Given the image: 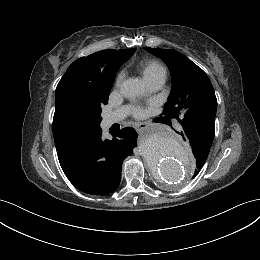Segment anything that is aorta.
<instances>
[{"label": "aorta", "instance_id": "1", "mask_svg": "<svg viewBox=\"0 0 260 260\" xmlns=\"http://www.w3.org/2000/svg\"><path fill=\"white\" fill-rule=\"evenodd\" d=\"M123 96L133 98L143 91L138 79H127L120 87ZM141 153L150 164L153 176L166 183L175 184L190 176L193 163L188 151L167 130L149 133L141 144Z\"/></svg>", "mask_w": 260, "mask_h": 260}]
</instances>
